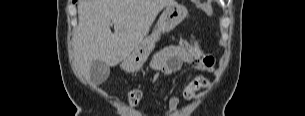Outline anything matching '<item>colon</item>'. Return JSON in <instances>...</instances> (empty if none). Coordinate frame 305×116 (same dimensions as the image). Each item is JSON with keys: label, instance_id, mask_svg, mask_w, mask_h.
Masks as SVG:
<instances>
[{"label": "colon", "instance_id": "colon-1", "mask_svg": "<svg viewBox=\"0 0 305 116\" xmlns=\"http://www.w3.org/2000/svg\"><path fill=\"white\" fill-rule=\"evenodd\" d=\"M144 93L141 88L132 89L127 96L126 107L128 112L132 113L137 110L143 101Z\"/></svg>", "mask_w": 305, "mask_h": 116}]
</instances>
